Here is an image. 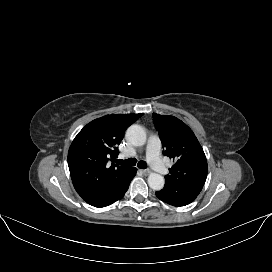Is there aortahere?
<instances>
[{
    "label": "aorta",
    "mask_w": 272,
    "mask_h": 272,
    "mask_svg": "<svg viewBox=\"0 0 272 272\" xmlns=\"http://www.w3.org/2000/svg\"><path fill=\"white\" fill-rule=\"evenodd\" d=\"M129 142L134 146H142L145 144L147 135L145 130L137 124L131 125L126 132ZM164 177L157 173H152L148 177V185L151 189L159 191L164 187Z\"/></svg>",
    "instance_id": "1"
}]
</instances>
